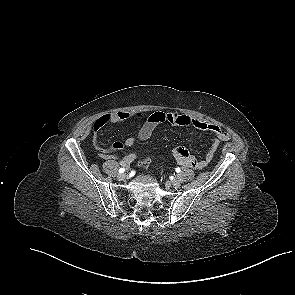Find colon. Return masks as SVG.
Returning <instances> with one entry per match:
<instances>
[{
    "mask_svg": "<svg viewBox=\"0 0 295 295\" xmlns=\"http://www.w3.org/2000/svg\"><path fill=\"white\" fill-rule=\"evenodd\" d=\"M176 149V148H175ZM174 149V150H175ZM174 152V151H173ZM150 159L149 158H146L144 159L143 161L140 162V165L143 167V168H147L149 165H150Z\"/></svg>",
    "mask_w": 295,
    "mask_h": 295,
    "instance_id": "5ec220e1",
    "label": "colon"
}]
</instances>
